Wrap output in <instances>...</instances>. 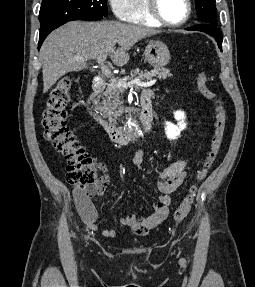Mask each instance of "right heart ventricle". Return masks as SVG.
Here are the masks:
<instances>
[{
    "mask_svg": "<svg viewBox=\"0 0 255 287\" xmlns=\"http://www.w3.org/2000/svg\"><path fill=\"white\" fill-rule=\"evenodd\" d=\"M125 33H145V32H125ZM114 39V38H110ZM130 39H142V38H130ZM146 39H159V38H146ZM155 48H167V47H155Z\"/></svg>",
    "mask_w": 255,
    "mask_h": 287,
    "instance_id": "1",
    "label": "right heart ventricle"
}]
</instances>
